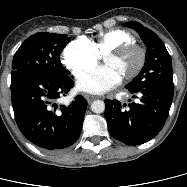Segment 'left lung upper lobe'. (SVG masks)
I'll return each mask as SVG.
<instances>
[{"label":"left lung upper lobe","mask_w":187,"mask_h":187,"mask_svg":"<svg viewBox=\"0 0 187 187\" xmlns=\"http://www.w3.org/2000/svg\"><path fill=\"white\" fill-rule=\"evenodd\" d=\"M138 32L147 45L145 65L141 73L126 85L128 90L148 87L174 88L171 57L160 38L137 22L123 24Z\"/></svg>","instance_id":"obj_1"}]
</instances>
